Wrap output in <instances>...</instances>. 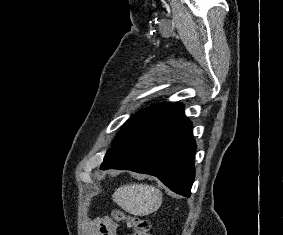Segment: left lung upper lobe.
<instances>
[{
    "label": "left lung upper lobe",
    "mask_w": 283,
    "mask_h": 235,
    "mask_svg": "<svg viewBox=\"0 0 283 235\" xmlns=\"http://www.w3.org/2000/svg\"><path fill=\"white\" fill-rule=\"evenodd\" d=\"M174 103H164L151 106L145 110L140 111L136 115L128 119L122 126L121 130L118 132L116 137L112 142V149L108 150L104 157V161L111 155V153L117 149L132 133L139 129L143 124H145L149 119L163 111L167 107L173 105ZM103 161V162H104Z\"/></svg>",
    "instance_id": "left-lung-upper-lobe-1"
}]
</instances>
